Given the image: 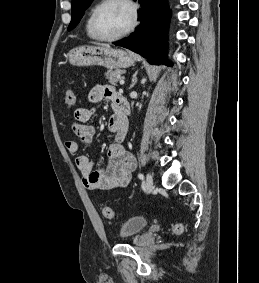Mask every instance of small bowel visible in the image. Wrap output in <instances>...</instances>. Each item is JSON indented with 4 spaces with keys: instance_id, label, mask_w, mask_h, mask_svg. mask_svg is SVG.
I'll return each instance as SVG.
<instances>
[{
    "instance_id": "obj_1",
    "label": "small bowel",
    "mask_w": 259,
    "mask_h": 283,
    "mask_svg": "<svg viewBox=\"0 0 259 283\" xmlns=\"http://www.w3.org/2000/svg\"><path fill=\"white\" fill-rule=\"evenodd\" d=\"M119 94L112 86L95 85L88 95V101L97 105L103 100L110 102L114 111ZM95 113V108L80 107L74 112V122L71 124L73 134L85 145L90 144L94 136V128L88 124ZM108 129L113 135V143L107 150L106 166H97L89 157L79 155V145L76 141H67V152L76 158V166L83 177V184L89 190H119L129 185L132 172L136 167L135 157L122 145L127 126L118 124L116 112L109 118Z\"/></svg>"
}]
</instances>
